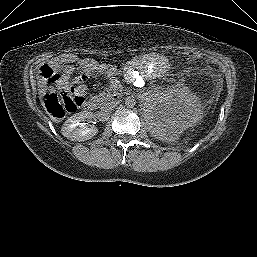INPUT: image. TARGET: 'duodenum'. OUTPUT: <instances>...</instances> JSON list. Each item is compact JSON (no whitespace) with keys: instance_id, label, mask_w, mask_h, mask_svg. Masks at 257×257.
Instances as JSON below:
<instances>
[{"instance_id":"410a0bca","label":"duodenum","mask_w":257,"mask_h":257,"mask_svg":"<svg viewBox=\"0 0 257 257\" xmlns=\"http://www.w3.org/2000/svg\"><path fill=\"white\" fill-rule=\"evenodd\" d=\"M121 99V93L119 91H114L108 98V102H117ZM97 108L95 101H89L85 104V110L88 112H93Z\"/></svg>"}]
</instances>
